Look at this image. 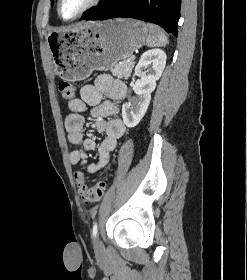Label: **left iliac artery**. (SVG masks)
<instances>
[{
    "instance_id": "obj_1",
    "label": "left iliac artery",
    "mask_w": 247,
    "mask_h": 280,
    "mask_svg": "<svg viewBox=\"0 0 247 280\" xmlns=\"http://www.w3.org/2000/svg\"><path fill=\"white\" fill-rule=\"evenodd\" d=\"M97 231H98V225H97V223H94L93 228H92V236H93V238L96 237Z\"/></svg>"
}]
</instances>
